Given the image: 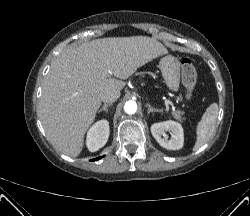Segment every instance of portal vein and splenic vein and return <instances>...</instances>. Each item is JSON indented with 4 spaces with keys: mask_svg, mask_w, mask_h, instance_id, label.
I'll return each instance as SVG.
<instances>
[{
    "mask_svg": "<svg viewBox=\"0 0 250 216\" xmlns=\"http://www.w3.org/2000/svg\"><path fill=\"white\" fill-rule=\"evenodd\" d=\"M165 105H166L167 109L169 108V105H171L172 108L174 109L172 102H170L168 100L165 101Z\"/></svg>",
    "mask_w": 250,
    "mask_h": 216,
    "instance_id": "18ae733b",
    "label": "portal vein and splenic vein"
}]
</instances>
